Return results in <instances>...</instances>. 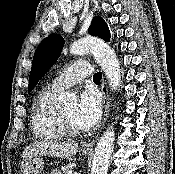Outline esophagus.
<instances>
[{
  "label": "esophagus",
  "mask_w": 175,
  "mask_h": 174,
  "mask_svg": "<svg viewBox=\"0 0 175 174\" xmlns=\"http://www.w3.org/2000/svg\"><path fill=\"white\" fill-rule=\"evenodd\" d=\"M101 91L103 93V104H104V119H103V125L107 120L108 114H109V94H108V88L106 86V83L103 79L101 84ZM95 144V140L86 142L82 144L83 149L91 150Z\"/></svg>",
  "instance_id": "1"
}]
</instances>
